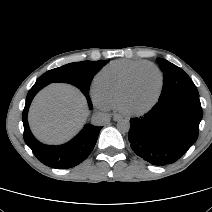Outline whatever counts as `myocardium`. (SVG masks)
Listing matches in <instances>:
<instances>
[{
    "instance_id": "obj_1",
    "label": "myocardium",
    "mask_w": 212,
    "mask_h": 212,
    "mask_svg": "<svg viewBox=\"0 0 212 212\" xmlns=\"http://www.w3.org/2000/svg\"><path fill=\"white\" fill-rule=\"evenodd\" d=\"M146 68H151V69L155 70V72L159 76V88H158L157 94H156L155 98L153 99V101L148 105V107L146 109H144V110L129 109L126 106V100L128 98V95H129V93H130V91H131V89L133 87L134 81H135L138 73L140 71H142L143 69H146ZM163 84H164L163 73L155 64L146 63V64H143V65L137 67L136 69H134L130 73V75H129L128 79L126 80L125 85H124V87L122 89V92H121V95H120V98H119V101H118V105H117L119 110L121 112H123L124 114L130 115V116L143 114L144 112L149 110L158 101V99L160 97V94L162 92Z\"/></svg>"
}]
</instances>
